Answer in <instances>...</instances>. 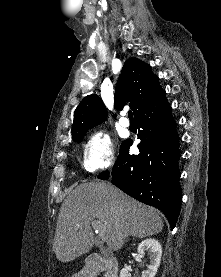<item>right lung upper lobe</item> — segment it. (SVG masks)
<instances>
[{
	"mask_svg": "<svg viewBox=\"0 0 221 277\" xmlns=\"http://www.w3.org/2000/svg\"><path fill=\"white\" fill-rule=\"evenodd\" d=\"M162 91L159 78L152 73L150 65L137 58H129L117 82L114 108L121 109L126 102H130L135 116ZM106 118V107L101 99L96 94L88 95L74 112L72 135L88 130Z\"/></svg>",
	"mask_w": 221,
	"mask_h": 277,
	"instance_id": "1",
	"label": "right lung upper lobe"
}]
</instances>
